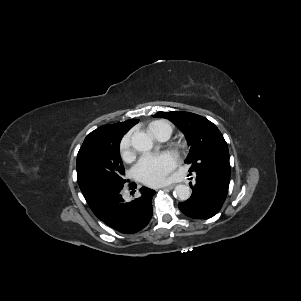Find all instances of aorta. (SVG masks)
Listing matches in <instances>:
<instances>
[{"instance_id":"aorta-1","label":"aorta","mask_w":301,"mask_h":301,"mask_svg":"<svg viewBox=\"0 0 301 301\" xmlns=\"http://www.w3.org/2000/svg\"><path fill=\"white\" fill-rule=\"evenodd\" d=\"M131 143L134 149L140 152H146L152 149L153 141L144 132H136L132 135ZM174 196L181 201L189 199L191 190L187 185L179 184L174 189Z\"/></svg>"}]
</instances>
